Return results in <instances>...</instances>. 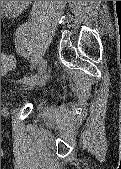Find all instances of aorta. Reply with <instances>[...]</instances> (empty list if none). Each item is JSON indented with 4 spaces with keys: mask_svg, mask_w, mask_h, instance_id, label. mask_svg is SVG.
Returning a JSON list of instances; mask_svg holds the SVG:
<instances>
[{
    "mask_svg": "<svg viewBox=\"0 0 121 169\" xmlns=\"http://www.w3.org/2000/svg\"><path fill=\"white\" fill-rule=\"evenodd\" d=\"M17 2H18V1H17ZM20 2L23 3L24 1H20ZM2 3H3V4H4V3H5V4H8L9 2H7V1H1V4H2ZM3 4H2V6H3Z\"/></svg>",
    "mask_w": 121,
    "mask_h": 169,
    "instance_id": "aorta-1",
    "label": "aorta"
}]
</instances>
